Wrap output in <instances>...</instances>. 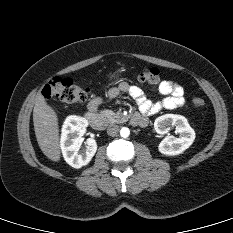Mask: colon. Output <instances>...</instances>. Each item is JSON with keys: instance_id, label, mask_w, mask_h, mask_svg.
<instances>
[{"instance_id": "1", "label": "colon", "mask_w": 233, "mask_h": 233, "mask_svg": "<svg viewBox=\"0 0 233 233\" xmlns=\"http://www.w3.org/2000/svg\"><path fill=\"white\" fill-rule=\"evenodd\" d=\"M137 79L146 84H158L160 82V72L155 67H145L138 74ZM90 90L76 84L69 78H53L49 80L42 90V95L48 100H60L67 103L83 102L89 96ZM193 106L202 108L205 104L201 98L192 101Z\"/></svg>"}]
</instances>
